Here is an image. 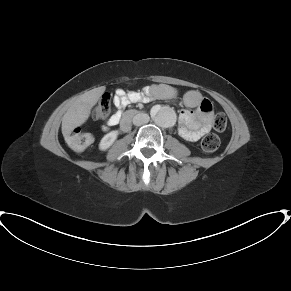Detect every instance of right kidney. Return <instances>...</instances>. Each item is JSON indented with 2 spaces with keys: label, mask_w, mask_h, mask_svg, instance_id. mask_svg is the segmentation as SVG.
<instances>
[{
  "label": "right kidney",
  "mask_w": 291,
  "mask_h": 291,
  "mask_svg": "<svg viewBox=\"0 0 291 291\" xmlns=\"http://www.w3.org/2000/svg\"><path fill=\"white\" fill-rule=\"evenodd\" d=\"M118 132L117 131H111L108 134H106L99 143V149L102 151L107 150L117 139Z\"/></svg>",
  "instance_id": "obj_1"
}]
</instances>
